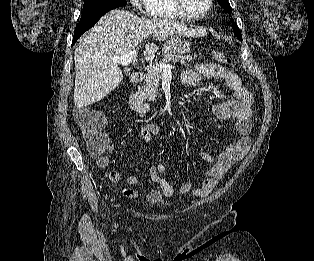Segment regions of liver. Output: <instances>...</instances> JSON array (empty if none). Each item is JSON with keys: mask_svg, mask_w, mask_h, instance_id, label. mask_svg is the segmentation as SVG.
Instances as JSON below:
<instances>
[{"mask_svg": "<svg viewBox=\"0 0 314 261\" xmlns=\"http://www.w3.org/2000/svg\"><path fill=\"white\" fill-rule=\"evenodd\" d=\"M201 34L172 20L140 18L125 10L106 13L75 49V105H91L112 92L123 80L122 71L113 58L133 51L150 35L164 41L174 35L196 37ZM157 49V45L148 43L144 52L153 54Z\"/></svg>", "mask_w": 314, "mask_h": 261, "instance_id": "obj_1", "label": "liver"}]
</instances>
